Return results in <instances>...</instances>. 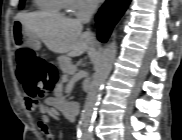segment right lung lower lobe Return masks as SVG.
<instances>
[{
  "label": "right lung lower lobe",
  "mask_w": 182,
  "mask_h": 140,
  "mask_svg": "<svg viewBox=\"0 0 182 140\" xmlns=\"http://www.w3.org/2000/svg\"><path fill=\"white\" fill-rule=\"evenodd\" d=\"M131 0H107L100 8L96 22L98 26V38L106 42L115 24L124 14Z\"/></svg>",
  "instance_id": "98d812e1"
}]
</instances>
